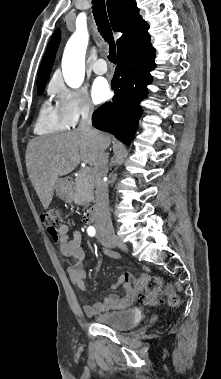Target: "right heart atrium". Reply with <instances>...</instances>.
I'll return each mask as SVG.
<instances>
[{"mask_svg":"<svg viewBox=\"0 0 221 379\" xmlns=\"http://www.w3.org/2000/svg\"><path fill=\"white\" fill-rule=\"evenodd\" d=\"M50 91L56 99L58 110L70 126L95 112V107L83 88L71 89L56 82L52 84Z\"/></svg>","mask_w":221,"mask_h":379,"instance_id":"1","label":"right heart atrium"}]
</instances>
